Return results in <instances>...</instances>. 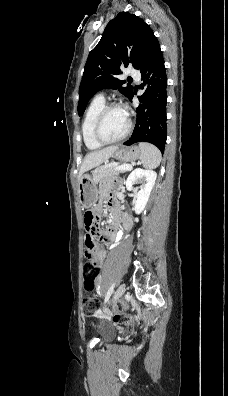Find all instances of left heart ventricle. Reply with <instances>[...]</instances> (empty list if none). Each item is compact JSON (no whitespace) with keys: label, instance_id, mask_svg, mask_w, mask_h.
<instances>
[{"label":"left heart ventricle","instance_id":"left-heart-ventricle-1","mask_svg":"<svg viewBox=\"0 0 228 396\" xmlns=\"http://www.w3.org/2000/svg\"><path fill=\"white\" fill-rule=\"evenodd\" d=\"M128 119L126 113L122 109L110 110L103 121L102 133L107 139H114L124 133L127 128Z\"/></svg>","mask_w":228,"mask_h":396}]
</instances>
